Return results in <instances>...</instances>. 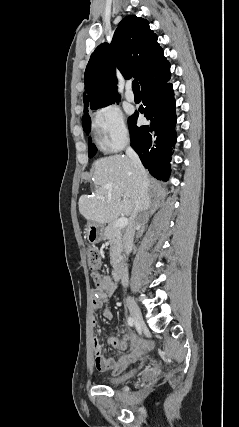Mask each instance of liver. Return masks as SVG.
<instances>
[{
  "label": "liver",
  "mask_w": 239,
  "mask_h": 427,
  "mask_svg": "<svg viewBox=\"0 0 239 427\" xmlns=\"http://www.w3.org/2000/svg\"><path fill=\"white\" fill-rule=\"evenodd\" d=\"M94 193L79 198V212L88 221L106 224L130 216L138 197L139 177L130 158L114 155L91 168Z\"/></svg>",
  "instance_id": "obj_1"
}]
</instances>
